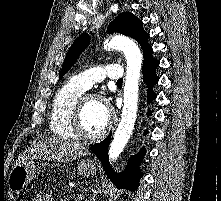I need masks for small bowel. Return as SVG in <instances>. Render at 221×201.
<instances>
[{"instance_id": "c3829d8e", "label": "small bowel", "mask_w": 221, "mask_h": 201, "mask_svg": "<svg viewBox=\"0 0 221 201\" xmlns=\"http://www.w3.org/2000/svg\"><path fill=\"white\" fill-rule=\"evenodd\" d=\"M32 201H53L46 193H38Z\"/></svg>"}]
</instances>
